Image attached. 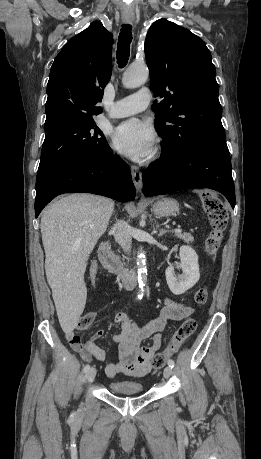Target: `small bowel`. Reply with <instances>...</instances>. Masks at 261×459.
I'll return each instance as SVG.
<instances>
[{"label": "small bowel", "mask_w": 261, "mask_h": 459, "mask_svg": "<svg viewBox=\"0 0 261 459\" xmlns=\"http://www.w3.org/2000/svg\"><path fill=\"white\" fill-rule=\"evenodd\" d=\"M97 273V265L90 269L91 284ZM193 309L185 304L165 299L164 306L158 316L151 321L138 325L134 323L125 313H117L114 322L119 325V332L112 336V340L119 346V360L117 363L108 362L105 367V374L113 378L118 374L133 377H141L151 370L150 361L160 349L164 331L168 321H181L189 317ZM104 331L98 330L90 341L83 344L80 337L72 330L67 333V339L73 349L78 351L81 357L91 362L106 360L105 351L97 344L103 336Z\"/></svg>", "instance_id": "small-bowel-1"}]
</instances>
